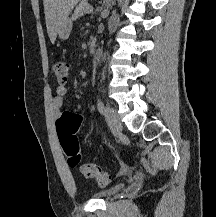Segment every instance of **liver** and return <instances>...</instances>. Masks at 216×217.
<instances>
[{"mask_svg": "<svg viewBox=\"0 0 216 217\" xmlns=\"http://www.w3.org/2000/svg\"><path fill=\"white\" fill-rule=\"evenodd\" d=\"M79 0H43L47 32L54 43L63 22L68 18Z\"/></svg>", "mask_w": 216, "mask_h": 217, "instance_id": "6515ba94", "label": "liver"}]
</instances>
